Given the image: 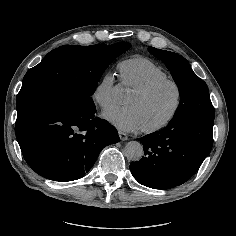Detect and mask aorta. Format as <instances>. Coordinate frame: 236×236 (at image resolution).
Masks as SVG:
<instances>
[{
    "mask_svg": "<svg viewBox=\"0 0 236 236\" xmlns=\"http://www.w3.org/2000/svg\"><path fill=\"white\" fill-rule=\"evenodd\" d=\"M124 155L131 161H139L144 155L143 146L138 141H129L124 148Z\"/></svg>",
    "mask_w": 236,
    "mask_h": 236,
    "instance_id": "1",
    "label": "aorta"
}]
</instances>
